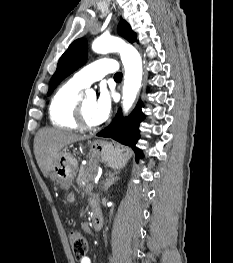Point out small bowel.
<instances>
[{"label":"small bowel","mask_w":233,"mask_h":263,"mask_svg":"<svg viewBox=\"0 0 233 263\" xmlns=\"http://www.w3.org/2000/svg\"><path fill=\"white\" fill-rule=\"evenodd\" d=\"M79 263H92V260L90 257L86 256L83 259L79 260Z\"/></svg>","instance_id":"obj_1"}]
</instances>
